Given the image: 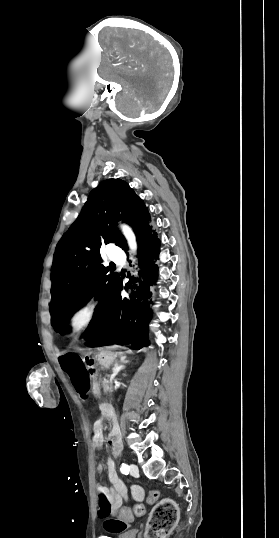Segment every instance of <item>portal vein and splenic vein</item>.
<instances>
[{"label":"portal vein and splenic vein","mask_w":279,"mask_h":538,"mask_svg":"<svg viewBox=\"0 0 279 538\" xmlns=\"http://www.w3.org/2000/svg\"><path fill=\"white\" fill-rule=\"evenodd\" d=\"M106 383H109V380H106Z\"/></svg>","instance_id":"obj_1"}]
</instances>
